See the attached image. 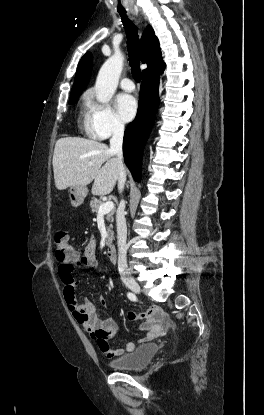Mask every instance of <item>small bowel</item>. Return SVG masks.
Instances as JSON below:
<instances>
[{
	"label": "small bowel",
	"mask_w": 264,
	"mask_h": 415,
	"mask_svg": "<svg viewBox=\"0 0 264 415\" xmlns=\"http://www.w3.org/2000/svg\"><path fill=\"white\" fill-rule=\"evenodd\" d=\"M74 267H86L93 273L98 272V262L96 258V247L93 240H91L84 248L82 258L69 265L67 269L58 268V274L64 286V295L68 289H75L77 281L72 276ZM68 307L82 328L97 342L101 351L106 356H123L130 353L135 348L134 342H127L125 347H118L112 349L110 340L118 334V326L116 322L111 319H103L96 313L93 304L88 299L81 301H68ZM98 301L102 307L107 308L108 303L103 296H98ZM129 321H137L147 319L148 321L141 323L138 326L140 331L146 332L145 336L137 340V344H145L156 339L160 333L162 325L167 321V315L157 307L150 308L145 312H129L127 314Z\"/></svg>",
	"instance_id": "1"
}]
</instances>
